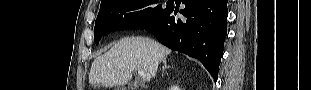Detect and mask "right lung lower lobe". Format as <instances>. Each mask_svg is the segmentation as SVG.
<instances>
[{
  "instance_id": "obj_1",
  "label": "right lung lower lobe",
  "mask_w": 311,
  "mask_h": 90,
  "mask_svg": "<svg viewBox=\"0 0 311 90\" xmlns=\"http://www.w3.org/2000/svg\"><path fill=\"white\" fill-rule=\"evenodd\" d=\"M228 0H183L185 8L176 17L177 8L144 29L163 45L197 58L215 81L227 34Z\"/></svg>"
}]
</instances>
